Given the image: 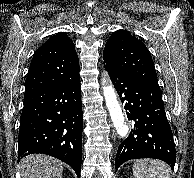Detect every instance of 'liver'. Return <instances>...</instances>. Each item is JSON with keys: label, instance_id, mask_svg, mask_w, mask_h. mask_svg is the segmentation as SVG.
I'll use <instances>...</instances> for the list:
<instances>
[{"label": "liver", "instance_id": "obj_1", "mask_svg": "<svg viewBox=\"0 0 194 178\" xmlns=\"http://www.w3.org/2000/svg\"><path fill=\"white\" fill-rule=\"evenodd\" d=\"M19 170L21 178H62L63 163L47 155L35 154L25 157Z\"/></svg>", "mask_w": 194, "mask_h": 178}]
</instances>
